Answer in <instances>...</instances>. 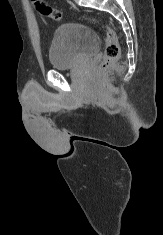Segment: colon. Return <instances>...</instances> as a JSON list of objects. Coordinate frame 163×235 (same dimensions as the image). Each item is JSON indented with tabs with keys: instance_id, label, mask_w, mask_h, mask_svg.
<instances>
[{
	"instance_id": "1",
	"label": "colon",
	"mask_w": 163,
	"mask_h": 235,
	"mask_svg": "<svg viewBox=\"0 0 163 235\" xmlns=\"http://www.w3.org/2000/svg\"><path fill=\"white\" fill-rule=\"evenodd\" d=\"M37 10L44 16L50 17L56 21H60L63 18L62 13L46 4L43 0H33ZM105 39H106V48L103 60L99 67V72H104L112 64L116 63L120 57V45L118 41V36L114 29L110 26L105 25Z\"/></svg>"
}]
</instances>
